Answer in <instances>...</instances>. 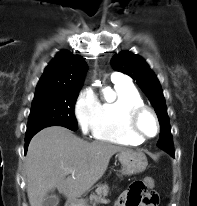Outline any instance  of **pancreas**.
<instances>
[{
  "label": "pancreas",
  "mask_w": 197,
  "mask_h": 206,
  "mask_svg": "<svg viewBox=\"0 0 197 206\" xmlns=\"http://www.w3.org/2000/svg\"><path fill=\"white\" fill-rule=\"evenodd\" d=\"M108 191V186L106 184L104 185H98L97 189L95 190V193L90 195V201L93 202V206H95V202L100 200L102 195L105 194Z\"/></svg>",
  "instance_id": "1"
}]
</instances>
